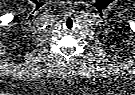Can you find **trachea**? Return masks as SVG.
<instances>
[{"label":"trachea","instance_id":"obj_1","mask_svg":"<svg viewBox=\"0 0 135 95\" xmlns=\"http://www.w3.org/2000/svg\"><path fill=\"white\" fill-rule=\"evenodd\" d=\"M66 26H67L68 29H71L73 27V21H72L71 18H68L66 20Z\"/></svg>","mask_w":135,"mask_h":95}]
</instances>
